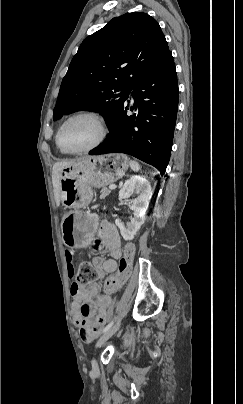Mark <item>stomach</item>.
Masks as SVG:
<instances>
[{
	"label": "stomach",
	"mask_w": 243,
	"mask_h": 404,
	"mask_svg": "<svg viewBox=\"0 0 243 404\" xmlns=\"http://www.w3.org/2000/svg\"><path fill=\"white\" fill-rule=\"evenodd\" d=\"M129 167L122 154L85 157L60 172L61 202L72 210L63 218L64 243L71 248L90 244L98 225V216L86 209L92 200V188L106 187L122 178Z\"/></svg>",
	"instance_id": "1"
}]
</instances>
